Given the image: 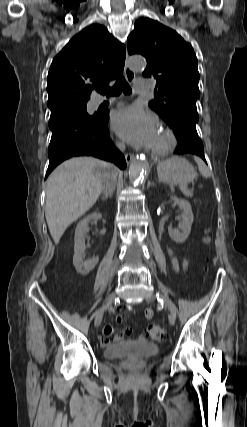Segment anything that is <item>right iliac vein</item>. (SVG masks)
Here are the masks:
<instances>
[{
  "label": "right iliac vein",
  "mask_w": 247,
  "mask_h": 427,
  "mask_svg": "<svg viewBox=\"0 0 247 427\" xmlns=\"http://www.w3.org/2000/svg\"><path fill=\"white\" fill-rule=\"evenodd\" d=\"M115 299H116V293L113 292V293L109 294V296L107 297V300H106V304L103 307H108L109 305H111L115 301ZM103 313H104V309H101L96 314V317L94 320L95 327H99V325L101 324Z\"/></svg>",
  "instance_id": "63e3f726"
}]
</instances>
